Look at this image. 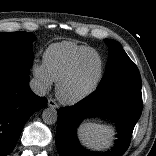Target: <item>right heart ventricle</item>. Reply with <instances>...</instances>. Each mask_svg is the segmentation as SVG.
Returning <instances> with one entry per match:
<instances>
[{
    "instance_id": "obj_1",
    "label": "right heart ventricle",
    "mask_w": 156,
    "mask_h": 156,
    "mask_svg": "<svg viewBox=\"0 0 156 156\" xmlns=\"http://www.w3.org/2000/svg\"><path fill=\"white\" fill-rule=\"evenodd\" d=\"M93 48L73 42H59L50 45L43 56V64L53 82H59L69 71L74 61Z\"/></svg>"
}]
</instances>
